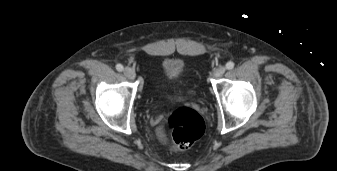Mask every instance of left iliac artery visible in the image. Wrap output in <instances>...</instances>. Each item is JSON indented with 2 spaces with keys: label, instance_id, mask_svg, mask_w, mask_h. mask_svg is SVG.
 Instances as JSON below:
<instances>
[{
  "label": "left iliac artery",
  "instance_id": "1",
  "mask_svg": "<svg viewBox=\"0 0 337 171\" xmlns=\"http://www.w3.org/2000/svg\"><path fill=\"white\" fill-rule=\"evenodd\" d=\"M234 66H235L234 62L229 61V62H227V64H226V69L231 70V69L234 68Z\"/></svg>",
  "mask_w": 337,
  "mask_h": 171
}]
</instances>
